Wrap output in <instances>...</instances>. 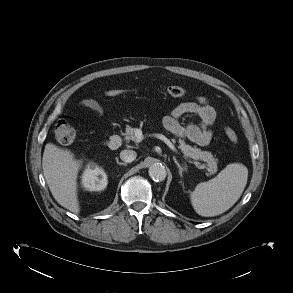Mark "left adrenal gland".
Returning a JSON list of instances; mask_svg holds the SVG:
<instances>
[{"label": "left adrenal gland", "mask_w": 293, "mask_h": 293, "mask_svg": "<svg viewBox=\"0 0 293 293\" xmlns=\"http://www.w3.org/2000/svg\"><path fill=\"white\" fill-rule=\"evenodd\" d=\"M173 160L179 169L180 176H183V171H186V167L181 166L175 157H173Z\"/></svg>", "instance_id": "a2214340"}]
</instances>
